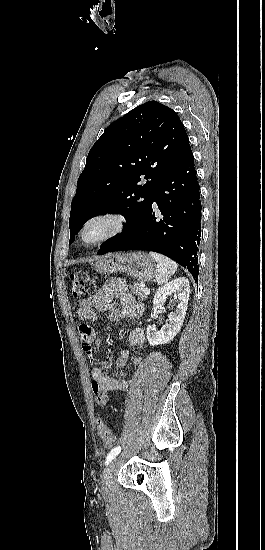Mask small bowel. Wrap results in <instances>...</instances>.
Wrapping results in <instances>:
<instances>
[{"mask_svg":"<svg viewBox=\"0 0 265 550\" xmlns=\"http://www.w3.org/2000/svg\"><path fill=\"white\" fill-rule=\"evenodd\" d=\"M118 303L119 307L116 305ZM98 312H108L110 319L119 318L137 319L144 313V306L138 302L129 292L127 284L122 279H110L106 281L97 293L80 303L78 318L83 322H92L96 319ZM80 339L83 351L91 364V388L96 385L104 393L110 391L126 390L129 381L126 378L118 379L128 359V353L122 352L115 364L106 368L97 359L96 348H99L101 341L97 338L95 330L84 325L80 328ZM126 342L129 347L141 346L145 342V335L141 328L133 327L126 335ZM141 357H136L134 363L138 364Z\"/></svg>","mask_w":265,"mask_h":550,"instance_id":"c3829d8e","label":"small bowel"}]
</instances>
